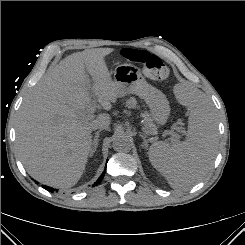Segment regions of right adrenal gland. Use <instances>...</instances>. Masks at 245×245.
Returning a JSON list of instances; mask_svg holds the SVG:
<instances>
[{
	"label": "right adrenal gland",
	"mask_w": 245,
	"mask_h": 245,
	"mask_svg": "<svg viewBox=\"0 0 245 245\" xmlns=\"http://www.w3.org/2000/svg\"><path fill=\"white\" fill-rule=\"evenodd\" d=\"M100 132H101V130H98L95 133V136H94V138L92 140V148H91L90 154H93L95 152L96 148L98 147Z\"/></svg>",
	"instance_id": "obj_1"
}]
</instances>
